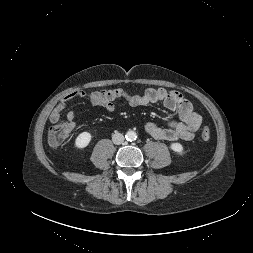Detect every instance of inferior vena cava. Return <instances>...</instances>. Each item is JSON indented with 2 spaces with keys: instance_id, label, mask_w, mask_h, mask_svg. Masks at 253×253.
Returning <instances> with one entry per match:
<instances>
[{
  "instance_id": "inferior-vena-cava-1",
  "label": "inferior vena cava",
  "mask_w": 253,
  "mask_h": 253,
  "mask_svg": "<svg viewBox=\"0 0 253 253\" xmlns=\"http://www.w3.org/2000/svg\"><path fill=\"white\" fill-rule=\"evenodd\" d=\"M112 141L114 144L119 145L122 144L124 141V136L121 133H115L112 136Z\"/></svg>"
}]
</instances>
